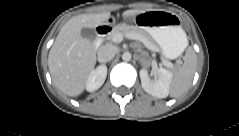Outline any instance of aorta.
Wrapping results in <instances>:
<instances>
[{
	"label": "aorta",
	"mask_w": 239,
	"mask_h": 136,
	"mask_svg": "<svg viewBox=\"0 0 239 136\" xmlns=\"http://www.w3.org/2000/svg\"><path fill=\"white\" fill-rule=\"evenodd\" d=\"M122 59L124 61H130L132 59V55L130 52L126 51L122 54Z\"/></svg>",
	"instance_id": "aorta-1"
}]
</instances>
